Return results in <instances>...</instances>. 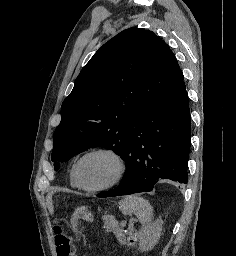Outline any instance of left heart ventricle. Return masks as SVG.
<instances>
[{"instance_id":"left-heart-ventricle-1","label":"left heart ventricle","mask_w":236,"mask_h":256,"mask_svg":"<svg viewBox=\"0 0 236 256\" xmlns=\"http://www.w3.org/2000/svg\"><path fill=\"white\" fill-rule=\"evenodd\" d=\"M115 159L105 153L87 156L81 165V176L88 187H98L110 182L117 174Z\"/></svg>"}]
</instances>
